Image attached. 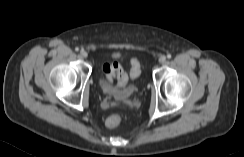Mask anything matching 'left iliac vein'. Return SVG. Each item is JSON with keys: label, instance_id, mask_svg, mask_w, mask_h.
<instances>
[{"label": "left iliac vein", "instance_id": "obj_1", "mask_svg": "<svg viewBox=\"0 0 244 157\" xmlns=\"http://www.w3.org/2000/svg\"><path fill=\"white\" fill-rule=\"evenodd\" d=\"M159 62L162 63V64L165 63L166 62V57L164 55L160 56L159 57Z\"/></svg>", "mask_w": 244, "mask_h": 157}]
</instances>
